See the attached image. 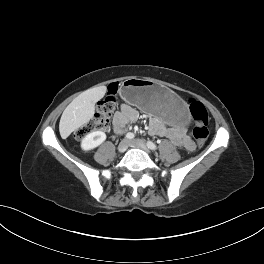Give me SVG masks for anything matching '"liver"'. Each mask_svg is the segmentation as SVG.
<instances>
[{"label": "liver", "mask_w": 264, "mask_h": 264, "mask_svg": "<svg viewBox=\"0 0 264 264\" xmlns=\"http://www.w3.org/2000/svg\"><path fill=\"white\" fill-rule=\"evenodd\" d=\"M106 91V86L90 88L65 108L59 123V131L63 139L93 118L95 103L104 97Z\"/></svg>", "instance_id": "1"}]
</instances>
